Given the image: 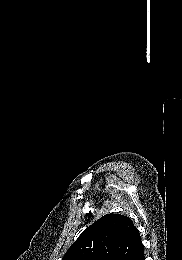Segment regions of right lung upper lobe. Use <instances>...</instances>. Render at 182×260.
Listing matches in <instances>:
<instances>
[{
  "label": "right lung upper lobe",
  "mask_w": 182,
  "mask_h": 260,
  "mask_svg": "<svg viewBox=\"0 0 182 260\" xmlns=\"http://www.w3.org/2000/svg\"><path fill=\"white\" fill-rule=\"evenodd\" d=\"M143 248L129 217L106 214L81 233L62 260H131Z\"/></svg>",
  "instance_id": "obj_1"
}]
</instances>
